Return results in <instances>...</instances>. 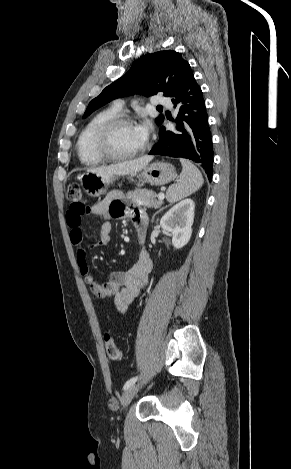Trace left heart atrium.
I'll return each mask as SVG.
<instances>
[{
  "mask_svg": "<svg viewBox=\"0 0 291 469\" xmlns=\"http://www.w3.org/2000/svg\"><path fill=\"white\" fill-rule=\"evenodd\" d=\"M140 136L146 141L149 136L150 132V124L149 122L145 121L139 125L136 126Z\"/></svg>",
  "mask_w": 291,
  "mask_h": 469,
  "instance_id": "left-heart-atrium-1",
  "label": "left heart atrium"
}]
</instances>
